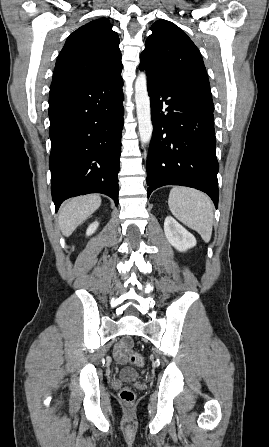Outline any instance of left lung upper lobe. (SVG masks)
I'll return each instance as SVG.
<instances>
[{"instance_id": "5c2ea615", "label": "left lung upper lobe", "mask_w": 269, "mask_h": 447, "mask_svg": "<svg viewBox=\"0 0 269 447\" xmlns=\"http://www.w3.org/2000/svg\"><path fill=\"white\" fill-rule=\"evenodd\" d=\"M151 30L140 65L153 76L196 93L214 108L202 56L191 39L167 20L156 21Z\"/></svg>"}]
</instances>
